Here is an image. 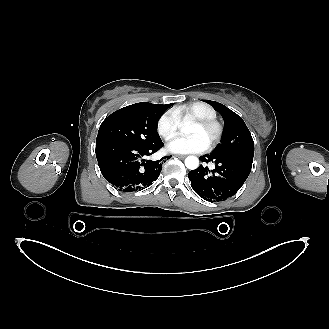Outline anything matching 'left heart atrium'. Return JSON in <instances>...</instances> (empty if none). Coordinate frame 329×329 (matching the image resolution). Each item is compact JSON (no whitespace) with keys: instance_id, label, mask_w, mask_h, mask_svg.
<instances>
[{"instance_id":"1","label":"left heart atrium","mask_w":329,"mask_h":329,"mask_svg":"<svg viewBox=\"0 0 329 329\" xmlns=\"http://www.w3.org/2000/svg\"><path fill=\"white\" fill-rule=\"evenodd\" d=\"M208 144L198 135L179 137L167 144V149L172 153L186 154L199 153L207 149Z\"/></svg>"}]
</instances>
